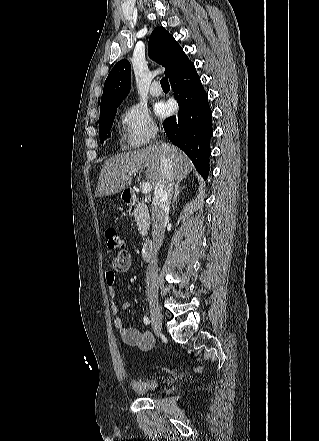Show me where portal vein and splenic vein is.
Wrapping results in <instances>:
<instances>
[{
    "mask_svg": "<svg viewBox=\"0 0 319 441\" xmlns=\"http://www.w3.org/2000/svg\"><path fill=\"white\" fill-rule=\"evenodd\" d=\"M130 172L132 174H135L136 172H138V169H131ZM151 190H152V186H151L150 182L147 181V182L142 183V186H141L142 193L148 194L151 192Z\"/></svg>",
    "mask_w": 319,
    "mask_h": 441,
    "instance_id": "portal-vein-and-splenic-vein-1",
    "label": "portal vein and splenic vein"
}]
</instances>
